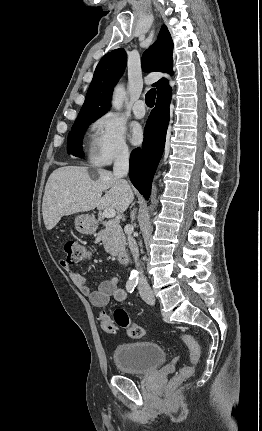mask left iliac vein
<instances>
[{"label":"left iliac vein","instance_id":"4c4485c4","mask_svg":"<svg viewBox=\"0 0 262 431\" xmlns=\"http://www.w3.org/2000/svg\"><path fill=\"white\" fill-rule=\"evenodd\" d=\"M142 298H143V299H144V301H145L146 303H148L149 305H154V303H155V299H154L153 294H150V295H142Z\"/></svg>","mask_w":262,"mask_h":431}]
</instances>
